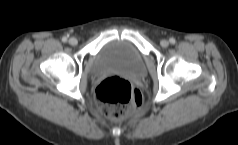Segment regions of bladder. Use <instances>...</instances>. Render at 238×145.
<instances>
[{
    "mask_svg": "<svg viewBox=\"0 0 238 145\" xmlns=\"http://www.w3.org/2000/svg\"><path fill=\"white\" fill-rule=\"evenodd\" d=\"M108 72L141 78L146 74L144 57L130 42H108L95 54L91 74L100 75Z\"/></svg>",
    "mask_w": 238,
    "mask_h": 145,
    "instance_id": "31cf9c89",
    "label": "bladder"
}]
</instances>
